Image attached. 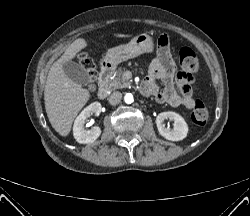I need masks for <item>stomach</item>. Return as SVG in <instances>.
I'll return each instance as SVG.
<instances>
[{
  "label": "stomach",
  "instance_id": "stomach-1",
  "mask_svg": "<svg viewBox=\"0 0 250 216\" xmlns=\"http://www.w3.org/2000/svg\"><path fill=\"white\" fill-rule=\"evenodd\" d=\"M154 44L152 38L146 34L134 37L129 43L109 49L104 57V63L115 68L121 62L133 59L145 53H152Z\"/></svg>",
  "mask_w": 250,
  "mask_h": 216
}]
</instances>
